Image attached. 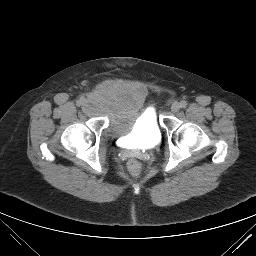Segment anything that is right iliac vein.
Wrapping results in <instances>:
<instances>
[{"instance_id":"1","label":"right iliac vein","mask_w":256,"mask_h":256,"mask_svg":"<svg viewBox=\"0 0 256 256\" xmlns=\"http://www.w3.org/2000/svg\"><path fill=\"white\" fill-rule=\"evenodd\" d=\"M84 107H87L88 105H87V101L84 103V105H83Z\"/></svg>"}]
</instances>
